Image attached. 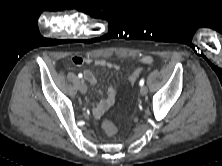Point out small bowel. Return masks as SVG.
<instances>
[{"instance_id": "obj_1", "label": "small bowel", "mask_w": 222, "mask_h": 166, "mask_svg": "<svg viewBox=\"0 0 222 166\" xmlns=\"http://www.w3.org/2000/svg\"><path fill=\"white\" fill-rule=\"evenodd\" d=\"M140 62L144 64H151L153 62V58L151 56L145 55L140 58ZM72 63L76 66H82L84 64H94L96 66H103L113 70L119 69V66L117 64L107 62L102 59L92 60L90 58H84L81 56H74L72 58ZM83 75L88 83H90L91 85L96 84L97 79L90 70L84 69ZM116 93V89L114 87H110L105 99L92 104L93 114L96 118H100L105 113V111H107L114 104Z\"/></svg>"}]
</instances>
